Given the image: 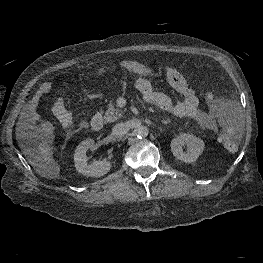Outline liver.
Masks as SVG:
<instances>
[{"label":"liver","mask_w":263,"mask_h":263,"mask_svg":"<svg viewBox=\"0 0 263 263\" xmlns=\"http://www.w3.org/2000/svg\"><path fill=\"white\" fill-rule=\"evenodd\" d=\"M21 120L18 122V126H17V131H20V128H21ZM17 135H19V133H17ZM40 149H41V151H42V153H43V155L45 156V161L47 162V163H50V162H52V153H51V149H52V147H49V146H47V145H42V146H40ZM59 170V168H58V166L57 167H55L54 169H52L51 168V171H49L50 172V174L51 175H54V176H57L58 175V171ZM38 172H39V174H41V175H43V176H47V175H50V174H47V172H44V171H41L40 169H38Z\"/></svg>","instance_id":"1"}]
</instances>
